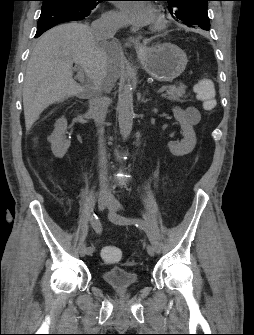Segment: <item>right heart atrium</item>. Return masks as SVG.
Returning a JSON list of instances; mask_svg holds the SVG:
<instances>
[{
    "label": "right heart atrium",
    "mask_w": 254,
    "mask_h": 335,
    "mask_svg": "<svg viewBox=\"0 0 254 335\" xmlns=\"http://www.w3.org/2000/svg\"><path fill=\"white\" fill-rule=\"evenodd\" d=\"M121 18L117 11H109L102 16L101 20L107 23H118L121 22Z\"/></svg>",
    "instance_id": "d8ad5b80"
}]
</instances>
